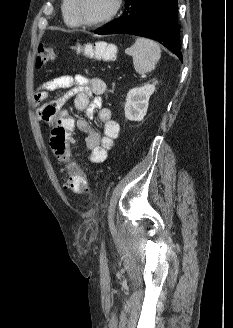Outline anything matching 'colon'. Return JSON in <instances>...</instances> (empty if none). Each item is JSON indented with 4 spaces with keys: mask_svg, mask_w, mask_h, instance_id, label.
Returning <instances> with one entry per match:
<instances>
[{
    "mask_svg": "<svg viewBox=\"0 0 233 328\" xmlns=\"http://www.w3.org/2000/svg\"><path fill=\"white\" fill-rule=\"evenodd\" d=\"M74 49L90 58L112 59L114 56L113 48L106 44L78 45ZM53 58V49L40 45L36 56V66L43 67ZM74 128L73 117L66 111H59L51 125L50 146L59 163L65 165L68 170V186L75 192L87 193L90 189L88 180L80 165L73 160L69 149Z\"/></svg>",
    "mask_w": 233,
    "mask_h": 328,
    "instance_id": "5ec220e1",
    "label": "colon"
}]
</instances>
